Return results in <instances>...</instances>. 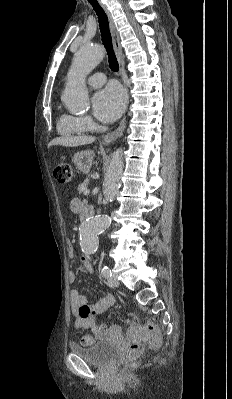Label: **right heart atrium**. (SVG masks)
<instances>
[{
	"label": "right heart atrium",
	"instance_id": "1",
	"mask_svg": "<svg viewBox=\"0 0 232 399\" xmlns=\"http://www.w3.org/2000/svg\"><path fill=\"white\" fill-rule=\"evenodd\" d=\"M83 123L88 127V128H92L94 126V123L92 122L90 117H82L81 118Z\"/></svg>",
	"mask_w": 232,
	"mask_h": 399
}]
</instances>
